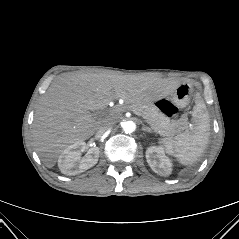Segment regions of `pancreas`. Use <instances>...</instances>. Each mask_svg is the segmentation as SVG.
Returning <instances> with one entry per match:
<instances>
[{
	"mask_svg": "<svg viewBox=\"0 0 239 239\" xmlns=\"http://www.w3.org/2000/svg\"><path fill=\"white\" fill-rule=\"evenodd\" d=\"M128 108L142 115L154 132L163 137H171L186 129L188 122L186 118L170 120L153 104H131Z\"/></svg>",
	"mask_w": 239,
	"mask_h": 239,
	"instance_id": "cf45deb5",
	"label": "pancreas"
}]
</instances>
